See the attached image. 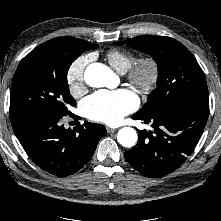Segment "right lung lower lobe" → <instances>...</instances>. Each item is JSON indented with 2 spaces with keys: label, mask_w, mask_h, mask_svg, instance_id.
<instances>
[{
  "label": "right lung lower lobe",
  "mask_w": 221,
  "mask_h": 221,
  "mask_svg": "<svg viewBox=\"0 0 221 221\" xmlns=\"http://www.w3.org/2000/svg\"><path fill=\"white\" fill-rule=\"evenodd\" d=\"M62 117L37 116L12 124L28 156L43 170L60 177L76 173L92 157L106 135L101 124L85 122L74 130L60 125Z\"/></svg>",
  "instance_id": "98d812e1"
}]
</instances>
